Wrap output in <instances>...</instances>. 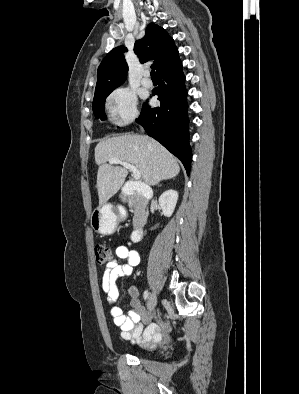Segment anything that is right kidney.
Segmentation results:
<instances>
[{"label": "right kidney", "instance_id": "right-kidney-1", "mask_svg": "<svg viewBox=\"0 0 299 394\" xmlns=\"http://www.w3.org/2000/svg\"><path fill=\"white\" fill-rule=\"evenodd\" d=\"M177 200H178V192L173 189H169L165 191L159 197V205L162 209L163 214L166 217L172 216L174 209L176 207Z\"/></svg>", "mask_w": 299, "mask_h": 394}]
</instances>
